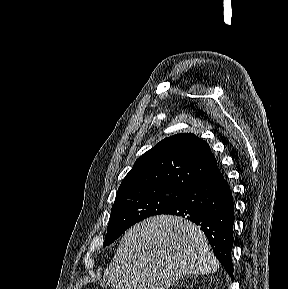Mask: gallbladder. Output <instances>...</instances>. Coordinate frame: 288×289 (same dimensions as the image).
<instances>
[{"label": "gallbladder", "mask_w": 288, "mask_h": 289, "mask_svg": "<svg viewBox=\"0 0 288 289\" xmlns=\"http://www.w3.org/2000/svg\"><path fill=\"white\" fill-rule=\"evenodd\" d=\"M109 284H108V282L107 281H105L104 283H103V286H108Z\"/></svg>", "instance_id": "1"}]
</instances>
